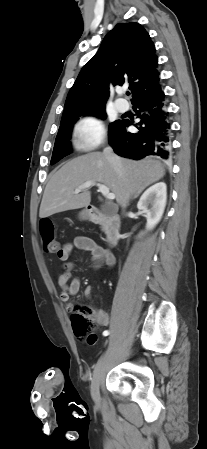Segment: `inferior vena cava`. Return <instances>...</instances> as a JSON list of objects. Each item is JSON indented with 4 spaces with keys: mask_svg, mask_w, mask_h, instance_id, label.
<instances>
[{
    "mask_svg": "<svg viewBox=\"0 0 207 449\" xmlns=\"http://www.w3.org/2000/svg\"><path fill=\"white\" fill-rule=\"evenodd\" d=\"M103 154L106 157V159L109 161V163L114 168L115 172L118 174L120 178H124V169L121 163L120 158L113 153V150L111 147H106L103 150Z\"/></svg>",
    "mask_w": 207,
    "mask_h": 449,
    "instance_id": "602c4592",
    "label": "inferior vena cava"
}]
</instances>
